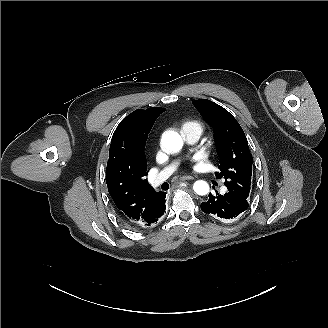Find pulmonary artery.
Wrapping results in <instances>:
<instances>
[{"mask_svg": "<svg viewBox=\"0 0 328 328\" xmlns=\"http://www.w3.org/2000/svg\"><path fill=\"white\" fill-rule=\"evenodd\" d=\"M184 139L188 144H193L199 139V134L196 132L186 131ZM175 164H170L165 167L160 173H157L149 178V183L152 187H158L174 170Z\"/></svg>", "mask_w": 328, "mask_h": 328, "instance_id": "1", "label": "pulmonary artery"}]
</instances>
